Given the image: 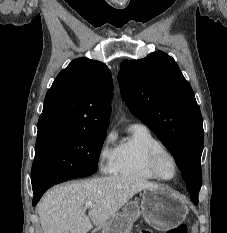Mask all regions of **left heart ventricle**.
<instances>
[{
    "instance_id": "1",
    "label": "left heart ventricle",
    "mask_w": 227,
    "mask_h": 233,
    "mask_svg": "<svg viewBox=\"0 0 227 233\" xmlns=\"http://www.w3.org/2000/svg\"><path fill=\"white\" fill-rule=\"evenodd\" d=\"M159 168L164 176L170 177L173 175L174 172L173 163L168 156H162L159 162Z\"/></svg>"
}]
</instances>
